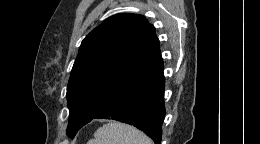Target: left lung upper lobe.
I'll return each mask as SVG.
<instances>
[{"label":"left lung upper lobe","mask_w":260,"mask_h":144,"mask_svg":"<svg viewBox=\"0 0 260 144\" xmlns=\"http://www.w3.org/2000/svg\"><path fill=\"white\" fill-rule=\"evenodd\" d=\"M155 28L139 14L113 15L82 41L67 85L69 124L73 138L109 102L118 87L154 59L163 74ZM164 76V75H163Z\"/></svg>","instance_id":"obj_1"}]
</instances>
